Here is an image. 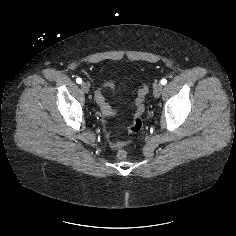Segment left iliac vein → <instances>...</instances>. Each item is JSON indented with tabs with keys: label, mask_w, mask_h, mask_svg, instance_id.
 I'll return each instance as SVG.
<instances>
[{
	"label": "left iliac vein",
	"mask_w": 236,
	"mask_h": 236,
	"mask_svg": "<svg viewBox=\"0 0 236 236\" xmlns=\"http://www.w3.org/2000/svg\"><path fill=\"white\" fill-rule=\"evenodd\" d=\"M163 91V86L160 83L154 84L153 95L155 98H158Z\"/></svg>",
	"instance_id": "left-iliac-vein-1"
}]
</instances>
